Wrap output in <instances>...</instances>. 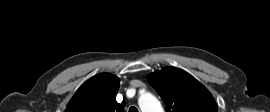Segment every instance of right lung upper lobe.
I'll use <instances>...</instances> for the list:
<instances>
[{
  "label": "right lung upper lobe",
  "mask_w": 270,
  "mask_h": 112,
  "mask_svg": "<svg viewBox=\"0 0 270 112\" xmlns=\"http://www.w3.org/2000/svg\"><path fill=\"white\" fill-rule=\"evenodd\" d=\"M119 79L100 73L87 80L75 93L66 112H124L116 101Z\"/></svg>",
  "instance_id": "right-lung-upper-lobe-1"
}]
</instances>
